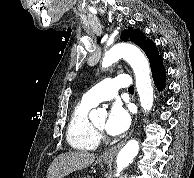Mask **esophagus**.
I'll return each instance as SVG.
<instances>
[{"label": "esophagus", "mask_w": 194, "mask_h": 178, "mask_svg": "<svg viewBox=\"0 0 194 178\" xmlns=\"http://www.w3.org/2000/svg\"><path fill=\"white\" fill-rule=\"evenodd\" d=\"M133 130L130 132V134L124 139L122 140L120 143H118L117 145L111 147L110 149L104 151L101 154V158L102 159H112L116 156V154L118 153V151L122 148V146L125 144V142L127 141V139L131 136Z\"/></svg>", "instance_id": "34e87169"}]
</instances>
